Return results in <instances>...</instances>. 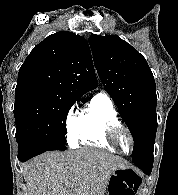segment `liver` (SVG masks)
Wrapping results in <instances>:
<instances>
[{"label":"liver","mask_w":178,"mask_h":195,"mask_svg":"<svg viewBox=\"0 0 178 195\" xmlns=\"http://www.w3.org/2000/svg\"><path fill=\"white\" fill-rule=\"evenodd\" d=\"M128 163L94 149L46 152L23 166L25 195H105L111 174Z\"/></svg>","instance_id":"liver-1"}]
</instances>
